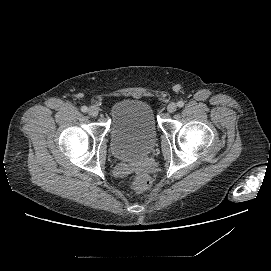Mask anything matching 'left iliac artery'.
<instances>
[{"label": "left iliac artery", "mask_w": 271, "mask_h": 271, "mask_svg": "<svg viewBox=\"0 0 271 271\" xmlns=\"http://www.w3.org/2000/svg\"><path fill=\"white\" fill-rule=\"evenodd\" d=\"M177 106L180 107V108L183 107V106H184V102H183V101H179V102L177 103Z\"/></svg>", "instance_id": "44dca946"}]
</instances>
